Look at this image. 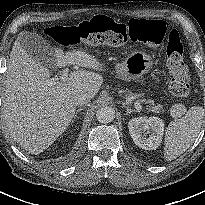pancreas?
Masks as SVG:
<instances>
[{
  "label": "pancreas",
  "mask_w": 205,
  "mask_h": 205,
  "mask_svg": "<svg viewBox=\"0 0 205 205\" xmlns=\"http://www.w3.org/2000/svg\"><path fill=\"white\" fill-rule=\"evenodd\" d=\"M147 103H148V105H147L146 109L148 111L153 112V113H157V114L164 112L162 105H160V104L156 105L154 100H148Z\"/></svg>",
  "instance_id": "1"
}]
</instances>
